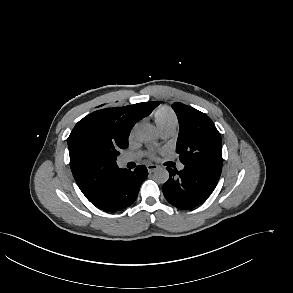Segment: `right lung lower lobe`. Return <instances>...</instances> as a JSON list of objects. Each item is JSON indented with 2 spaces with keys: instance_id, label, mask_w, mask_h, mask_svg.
Wrapping results in <instances>:
<instances>
[{
  "instance_id": "obj_1",
  "label": "right lung lower lobe",
  "mask_w": 293,
  "mask_h": 293,
  "mask_svg": "<svg viewBox=\"0 0 293 293\" xmlns=\"http://www.w3.org/2000/svg\"><path fill=\"white\" fill-rule=\"evenodd\" d=\"M147 175V168L143 165L137 166L133 172L121 169L108 180L102 192L90 202L108 212L125 209L136 200L140 186Z\"/></svg>"
}]
</instances>
